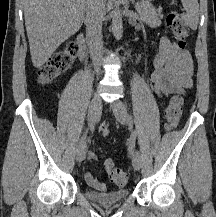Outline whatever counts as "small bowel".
<instances>
[{
  "instance_id": "1",
  "label": "small bowel",
  "mask_w": 216,
  "mask_h": 217,
  "mask_svg": "<svg viewBox=\"0 0 216 217\" xmlns=\"http://www.w3.org/2000/svg\"><path fill=\"white\" fill-rule=\"evenodd\" d=\"M193 59L188 50L175 44L167 37L160 41L159 51L153 59V71L151 81L154 84V91L159 98H167L173 94H184L193 85ZM88 158L93 160L96 155L88 152ZM104 162L106 171L107 164ZM86 182L98 190H106L107 183L100 181L93 173H85Z\"/></svg>"
}]
</instances>
